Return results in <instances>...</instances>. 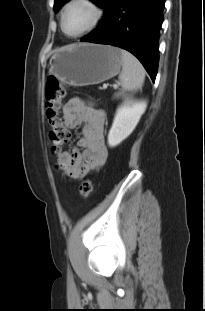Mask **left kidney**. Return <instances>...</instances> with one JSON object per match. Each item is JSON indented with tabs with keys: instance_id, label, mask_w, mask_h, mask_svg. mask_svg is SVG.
Here are the masks:
<instances>
[{
	"instance_id": "obj_1",
	"label": "left kidney",
	"mask_w": 205,
	"mask_h": 311,
	"mask_svg": "<svg viewBox=\"0 0 205 311\" xmlns=\"http://www.w3.org/2000/svg\"><path fill=\"white\" fill-rule=\"evenodd\" d=\"M146 108V101H127L116 110L114 121L108 134V145L110 147L119 145L133 132Z\"/></svg>"
}]
</instances>
